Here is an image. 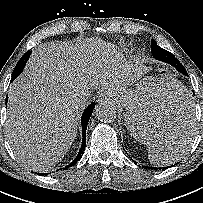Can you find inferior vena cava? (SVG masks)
I'll use <instances>...</instances> for the list:
<instances>
[{
  "label": "inferior vena cava",
  "mask_w": 203,
  "mask_h": 203,
  "mask_svg": "<svg viewBox=\"0 0 203 203\" xmlns=\"http://www.w3.org/2000/svg\"><path fill=\"white\" fill-rule=\"evenodd\" d=\"M87 98V97H86ZM86 98L84 96H81L78 100V102L82 103L86 100Z\"/></svg>",
  "instance_id": "inferior-vena-cava-1"
}]
</instances>
